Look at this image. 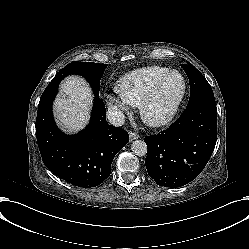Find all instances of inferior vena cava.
<instances>
[{"label":"inferior vena cava","mask_w":249,"mask_h":249,"mask_svg":"<svg viewBox=\"0 0 249 249\" xmlns=\"http://www.w3.org/2000/svg\"><path fill=\"white\" fill-rule=\"evenodd\" d=\"M107 121L113 126L121 127L125 122V115L116 106L111 105L107 109Z\"/></svg>","instance_id":"602c4592"}]
</instances>
